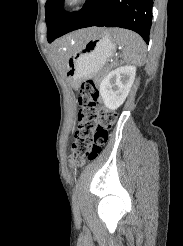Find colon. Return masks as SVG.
<instances>
[{
	"instance_id": "obj_1",
	"label": "colon",
	"mask_w": 183,
	"mask_h": 246,
	"mask_svg": "<svg viewBox=\"0 0 183 246\" xmlns=\"http://www.w3.org/2000/svg\"><path fill=\"white\" fill-rule=\"evenodd\" d=\"M78 129L71 147L70 163L80 167L94 159L106 144L116 113L100 107L97 85L92 80L82 83L78 96Z\"/></svg>"
}]
</instances>
